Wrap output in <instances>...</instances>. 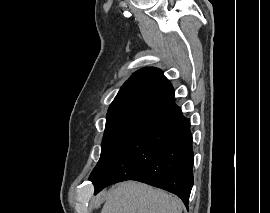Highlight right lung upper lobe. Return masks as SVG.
Wrapping results in <instances>:
<instances>
[{"instance_id": "obj_1", "label": "right lung upper lobe", "mask_w": 270, "mask_h": 213, "mask_svg": "<svg viewBox=\"0 0 270 213\" xmlns=\"http://www.w3.org/2000/svg\"><path fill=\"white\" fill-rule=\"evenodd\" d=\"M173 97L174 89L163 72L154 67H146L135 72L125 82L109 111L135 104L157 106Z\"/></svg>"}]
</instances>
